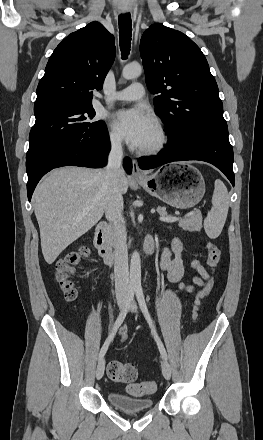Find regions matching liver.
Segmentation results:
<instances>
[{
  "label": "liver",
  "instance_id": "1",
  "mask_svg": "<svg viewBox=\"0 0 263 440\" xmlns=\"http://www.w3.org/2000/svg\"><path fill=\"white\" fill-rule=\"evenodd\" d=\"M128 184L123 174L119 179L121 193L127 192ZM105 187L104 170L81 167L56 169L37 186L34 211L48 264L102 218Z\"/></svg>",
  "mask_w": 263,
  "mask_h": 440
}]
</instances>
